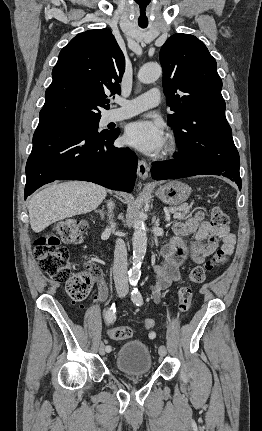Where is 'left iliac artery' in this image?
<instances>
[{
  "instance_id": "obj_1",
  "label": "left iliac artery",
  "mask_w": 262,
  "mask_h": 431,
  "mask_svg": "<svg viewBox=\"0 0 262 431\" xmlns=\"http://www.w3.org/2000/svg\"><path fill=\"white\" fill-rule=\"evenodd\" d=\"M138 281L133 282V290L131 292V298L134 304L137 306H141L143 304V297L139 291V288L137 286Z\"/></svg>"
}]
</instances>
